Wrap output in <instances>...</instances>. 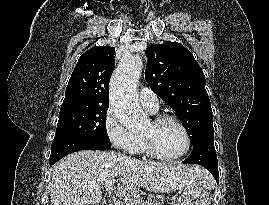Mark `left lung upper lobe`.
<instances>
[{
  "mask_svg": "<svg viewBox=\"0 0 269 205\" xmlns=\"http://www.w3.org/2000/svg\"><path fill=\"white\" fill-rule=\"evenodd\" d=\"M146 56L147 83L177 113L193 146L214 134L205 76L192 53L169 41L148 46Z\"/></svg>",
  "mask_w": 269,
  "mask_h": 205,
  "instance_id": "obj_1",
  "label": "left lung upper lobe"
}]
</instances>
